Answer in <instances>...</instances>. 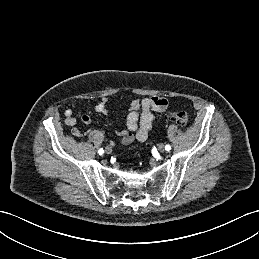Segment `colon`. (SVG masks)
<instances>
[{"label":"colon","instance_id":"obj_1","mask_svg":"<svg viewBox=\"0 0 259 259\" xmlns=\"http://www.w3.org/2000/svg\"><path fill=\"white\" fill-rule=\"evenodd\" d=\"M167 120L175 122L178 125L185 126L188 123L189 117L186 112H173L167 115Z\"/></svg>","mask_w":259,"mask_h":259}]
</instances>
